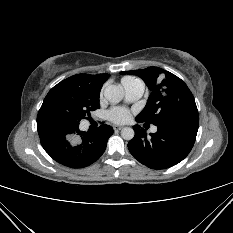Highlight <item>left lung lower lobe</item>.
Returning <instances> with one entry per match:
<instances>
[{"label":"left lung lower lobe","mask_w":233,"mask_h":233,"mask_svg":"<svg viewBox=\"0 0 233 233\" xmlns=\"http://www.w3.org/2000/svg\"><path fill=\"white\" fill-rule=\"evenodd\" d=\"M157 127V132L148 137L145 129L135 125V136L129 141L128 149L135 159L147 167L166 169L181 162L191 151L198 131V119Z\"/></svg>","instance_id":"0a47b994"}]
</instances>
